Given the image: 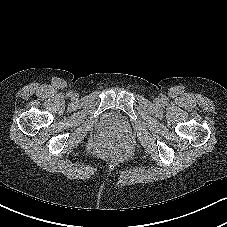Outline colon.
<instances>
[{
    "label": "colon",
    "mask_w": 227,
    "mask_h": 227,
    "mask_svg": "<svg viewBox=\"0 0 227 227\" xmlns=\"http://www.w3.org/2000/svg\"><path fill=\"white\" fill-rule=\"evenodd\" d=\"M118 156V153L115 151V148L112 147L111 151L108 153L109 158H116Z\"/></svg>",
    "instance_id": "5ec220e1"
}]
</instances>
